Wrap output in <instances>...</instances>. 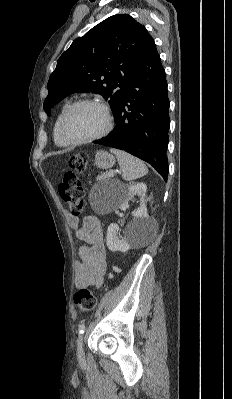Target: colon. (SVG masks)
I'll use <instances>...</instances> for the list:
<instances>
[{"label":"colon","mask_w":232,"mask_h":399,"mask_svg":"<svg viewBox=\"0 0 232 399\" xmlns=\"http://www.w3.org/2000/svg\"><path fill=\"white\" fill-rule=\"evenodd\" d=\"M66 164H70L72 172H85L86 168H89L88 160H86V153L81 155H74V160L66 159ZM77 175H63L62 185L60 186V194H69V196H77V198H64V203L68 204V211L72 214H80L84 211L83 207H78V203H85V198H82V185L76 184ZM77 294L81 296H74V301H81L76 303V308H79V312H92L93 316L97 315L98 305V290L90 289H77Z\"/></svg>","instance_id":"5ec220e1"}]
</instances>
